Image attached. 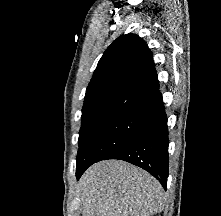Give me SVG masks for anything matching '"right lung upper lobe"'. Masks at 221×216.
<instances>
[{
    "label": "right lung upper lobe",
    "instance_id": "1",
    "mask_svg": "<svg viewBox=\"0 0 221 216\" xmlns=\"http://www.w3.org/2000/svg\"><path fill=\"white\" fill-rule=\"evenodd\" d=\"M162 102L152 54L137 35L117 38L87 87L82 123L115 113L150 114Z\"/></svg>",
    "mask_w": 221,
    "mask_h": 216
}]
</instances>
